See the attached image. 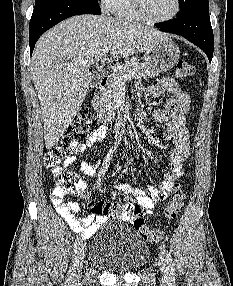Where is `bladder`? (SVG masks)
Masks as SVG:
<instances>
[{
	"mask_svg": "<svg viewBox=\"0 0 233 286\" xmlns=\"http://www.w3.org/2000/svg\"><path fill=\"white\" fill-rule=\"evenodd\" d=\"M89 258L94 265L109 272L126 273L145 265L149 248L130 225L110 222L95 237Z\"/></svg>",
	"mask_w": 233,
	"mask_h": 286,
	"instance_id": "1",
	"label": "bladder"
}]
</instances>
